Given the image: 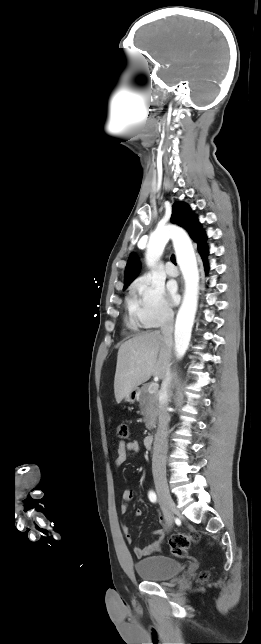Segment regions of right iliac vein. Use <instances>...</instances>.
Here are the masks:
<instances>
[{
  "label": "right iliac vein",
  "instance_id": "63e3f726",
  "mask_svg": "<svg viewBox=\"0 0 261 644\" xmlns=\"http://www.w3.org/2000/svg\"><path fill=\"white\" fill-rule=\"evenodd\" d=\"M154 483L156 487V492L160 498V500L163 502V504L174 514H179L178 509L171 497V494L169 492L168 484L164 476L161 475H156L154 477ZM170 516V525H172L173 518L171 515Z\"/></svg>",
  "mask_w": 261,
  "mask_h": 644
}]
</instances>
